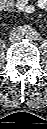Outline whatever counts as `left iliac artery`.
<instances>
[{
    "label": "left iliac artery",
    "instance_id": "obj_1",
    "mask_svg": "<svg viewBox=\"0 0 47 129\" xmlns=\"http://www.w3.org/2000/svg\"><path fill=\"white\" fill-rule=\"evenodd\" d=\"M31 37L34 40H39L40 39V34L38 32H36V31H32L31 32Z\"/></svg>",
    "mask_w": 47,
    "mask_h": 129
}]
</instances>
